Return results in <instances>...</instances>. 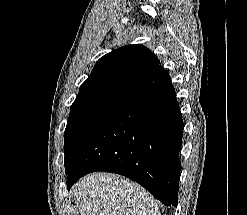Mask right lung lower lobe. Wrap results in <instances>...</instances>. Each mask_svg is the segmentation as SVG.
I'll return each mask as SVG.
<instances>
[{
  "instance_id": "obj_1",
  "label": "right lung lower lobe",
  "mask_w": 247,
  "mask_h": 215,
  "mask_svg": "<svg viewBox=\"0 0 247 215\" xmlns=\"http://www.w3.org/2000/svg\"><path fill=\"white\" fill-rule=\"evenodd\" d=\"M183 120L175 89L162 66L145 79L79 141L67 188L94 171L129 177L166 206H177Z\"/></svg>"
}]
</instances>
